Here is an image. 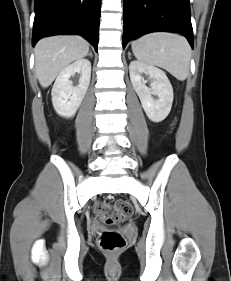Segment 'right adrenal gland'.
I'll return each instance as SVG.
<instances>
[{
    "label": "right adrenal gland",
    "mask_w": 231,
    "mask_h": 281,
    "mask_svg": "<svg viewBox=\"0 0 231 281\" xmlns=\"http://www.w3.org/2000/svg\"><path fill=\"white\" fill-rule=\"evenodd\" d=\"M90 57H93V55H92V53L90 52L89 54H88Z\"/></svg>",
    "instance_id": "2a0ac1e0"
}]
</instances>
